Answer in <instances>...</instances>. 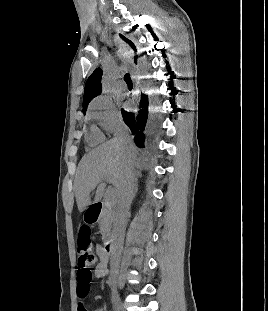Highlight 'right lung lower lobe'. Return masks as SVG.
<instances>
[{
	"label": "right lung lower lobe",
	"mask_w": 268,
	"mask_h": 311,
	"mask_svg": "<svg viewBox=\"0 0 268 311\" xmlns=\"http://www.w3.org/2000/svg\"><path fill=\"white\" fill-rule=\"evenodd\" d=\"M153 100L141 94L137 112H128L122 109V117L130 128L135 144L145 147L154 138L159 130V117L153 111Z\"/></svg>",
	"instance_id": "1"
}]
</instances>
